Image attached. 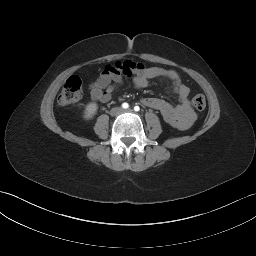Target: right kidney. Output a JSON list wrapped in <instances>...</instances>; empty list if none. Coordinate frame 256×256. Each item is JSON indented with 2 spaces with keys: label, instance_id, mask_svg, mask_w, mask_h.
<instances>
[{
  "label": "right kidney",
  "instance_id": "ca27d5eb",
  "mask_svg": "<svg viewBox=\"0 0 256 256\" xmlns=\"http://www.w3.org/2000/svg\"><path fill=\"white\" fill-rule=\"evenodd\" d=\"M98 105L94 102L88 103L84 110V118L90 120L96 114Z\"/></svg>",
  "mask_w": 256,
  "mask_h": 256
}]
</instances>
